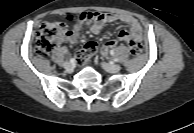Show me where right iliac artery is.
<instances>
[{"label":"right iliac artery","instance_id":"obj_1","mask_svg":"<svg viewBox=\"0 0 194 133\" xmlns=\"http://www.w3.org/2000/svg\"><path fill=\"white\" fill-rule=\"evenodd\" d=\"M70 62L73 63V59H71Z\"/></svg>","mask_w":194,"mask_h":133}]
</instances>
